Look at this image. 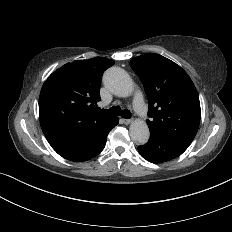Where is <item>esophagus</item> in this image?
<instances>
[{
	"label": "esophagus",
	"mask_w": 232,
	"mask_h": 232,
	"mask_svg": "<svg viewBox=\"0 0 232 232\" xmlns=\"http://www.w3.org/2000/svg\"><path fill=\"white\" fill-rule=\"evenodd\" d=\"M124 124H130L132 122L131 119H123Z\"/></svg>",
	"instance_id": "34e87169"
}]
</instances>
